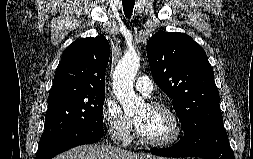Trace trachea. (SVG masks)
<instances>
[{
	"mask_svg": "<svg viewBox=\"0 0 253 159\" xmlns=\"http://www.w3.org/2000/svg\"><path fill=\"white\" fill-rule=\"evenodd\" d=\"M122 4L125 16L130 19L135 5V0H122Z\"/></svg>",
	"mask_w": 253,
	"mask_h": 159,
	"instance_id": "obj_1",
	"label": "trachea"
}]
</instances>
